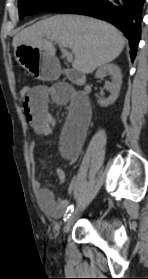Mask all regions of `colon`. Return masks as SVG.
<instances>
[{"mask_svg": "<svg viewBox=\"0 0 148 279\" xmlns=\"http://www.w3.org/2000/svg\"><path fill=\"white\" fill-rule=\"evenodd\" d=\"M20 95L23 101H27L31 95V89L28 86H24L20 90Z\"/></svg>", "mask_w": 148, "mask_h": 279, "instance_id": "colon-1", "label": "colon"}]
</instances>
